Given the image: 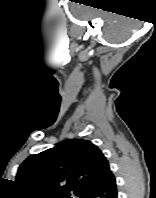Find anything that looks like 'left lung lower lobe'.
Wrapping results in <instances>:
<instances>
[{
  "mask_svg": "<svg viewBox=\"0 0 156 198\" xmlns=\"http://www.w3.org/2000/svg\"><path fill=\"white\" fill-rule=\"evenodd\" d=\"M81 198H117L116 180L112 172L110 171L98 186L85 192Z\"/></svg>",
  "mask_w": 156,
  "mask_h": 198,
  "instance_id": "obj_1",
  "label": "left lung lower lobe"
}]
</instances>
